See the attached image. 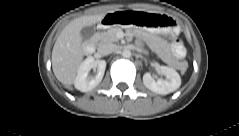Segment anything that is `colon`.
<instances>
[{"mask_svg":"<svg viewBox=\"0 0 239 136\" xmlns=\"http://www.w3.org/2000/svg\"><path fill=\"white\" fill-rule=\"evenodd\" d=\"M114 17L117 20V16H114ZM176 43H179V42H176ZM174 48H175V52L183 53V50H182L181 46L175 47V45H174Z\"/></svg>","mask_w":239,"mask_h":136,"instance_id":"obj_1","label":"colon"}]
</instances>
